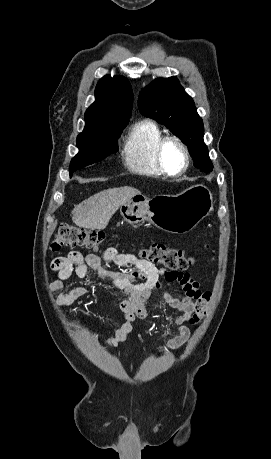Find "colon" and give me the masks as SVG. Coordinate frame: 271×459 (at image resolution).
<instances>
[{
	"label": "colon",
	"instance_id": "obj_1",
	"mask_svg": "<svg viewBox=\"0 0 271 459\" xmlns=\"http://www.w3.org/2000/svg\"><path fill=\"white\" fill-rule=\"evenodd\" d=\"M105 240L106 234L101 230L62 224L56 232L51 247L53 250H59L62 247L97 249ZM140 254L144 259L159 264L171 272L186 270L193 263V258L185 250L170 248L162 243H151L142 249ZM209 299V292L201 293L189 319L191 324H197L204 318Z\"/></svg>",
	"mask_w": 271,
	"mask_h": 459
}]
</instances>
